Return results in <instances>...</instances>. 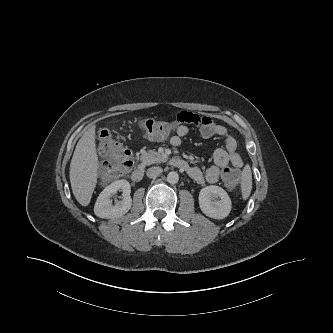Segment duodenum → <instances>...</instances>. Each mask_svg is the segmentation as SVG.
<instances>
[{
  "label": "duodenum",
  "instance_id": "410a0bca",
  "mask_svg": "<svg viewBox=\"0 0 333 333\" xmlns=\"http://www.w3.org/2000/svg\"><path fill=\"white\" fill-rule=\"evenodd\" d=\"M169 164L178 169H182V170L189 169L188 163L184 159L179 158V157L171 158L169 160ZM144 173H145V166L141 163L133 170V172L131 173V178L133 181L139 182L142 180Z\"/></svg>",
  "mask_w": 333,
  "mask_h": 333
}]
</instances>
